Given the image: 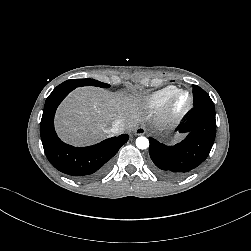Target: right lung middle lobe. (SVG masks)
<instances>
[{"mask_svg":"<svg viewBox=\"0 0 251 251\" xmlns=\"http://www.w3.org/2000/svg\"><path fill=\"white\" fill-rule=\"evenodd\" d=\"M81 86H97L101 88L110 87L109 84L102 83L94 79H71L63 82L57 87H71L75 89L76 87H81Z\"/></svg>","mask_w":251,"mask_h":251,"instance_id":"obj_1","label":"right lung middle lobe"}]
</instances>
